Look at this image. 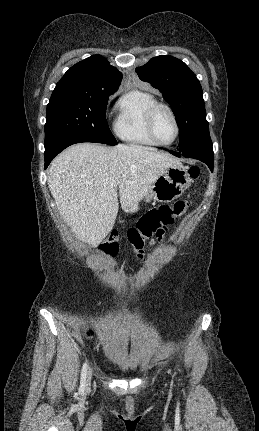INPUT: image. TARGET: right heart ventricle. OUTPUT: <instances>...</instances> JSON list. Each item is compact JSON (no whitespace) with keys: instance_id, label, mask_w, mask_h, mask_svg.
Listing matches in <instances>:
<instances>
[{"instance_id":"e07e8e85","label":"right heart ventricle","mask_w":259,"mask_h":431,"mask_svg":"<svg viewBox=\"0 0 259 431\" xmlns=\"http://www.w3.org/2000/svg\"><path fill=\"white\" fill-rule=\"evenodd\" d=\"M157 102L155 96L146 91L130 90L124 93L116 105L114 131L124 142L155 147L157 144L150 138L146 127V113L151 105Z\"/></svg>"}]
</instances>
